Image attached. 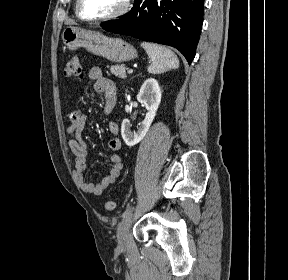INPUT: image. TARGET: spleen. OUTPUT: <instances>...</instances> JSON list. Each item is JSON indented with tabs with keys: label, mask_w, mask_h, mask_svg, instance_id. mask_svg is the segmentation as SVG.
<instances>
[{
	"label": "spleen",
	"mask_w": 288,
	"mask_h": 280,
	"mask_svg": "<svg viewBox=\"0 0 288 280\" xmlns=\"http://www.w3.org/2000/svg\"><path fill=\"white\" fill-rule=\"evenodd\" d=\"M141 46L151 59L147 68L149 73L160 74L179 67L177 56L169 48L149 42H143Z\"/></svg>",
	"instance_id": "obj_1"
}]
</instances>
